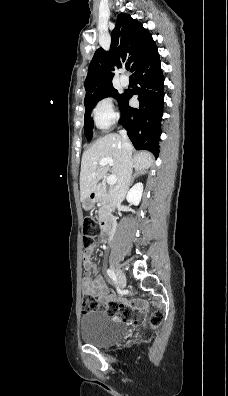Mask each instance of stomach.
<instances>
[{
    "instance_id": "stomach-1",
    "label": "stomach",
    "mask_w": 228,
    "mask_h": 396,
    "mask_svg": "<svg viewBox=\"0 0 228 396\" xmlns=\"http://www.w3.org/2000/svg\"><path fill=\"white\" fill-rule=\"evenodd\" d=\"M96 202V195L95 193H91L90 195H88L82 202V206L85 210H91Z\"/></svg>"
}]
</instances>
